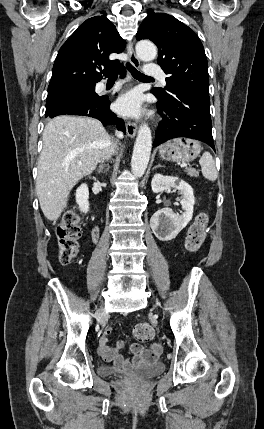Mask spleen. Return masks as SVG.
Returning <instances> with one entry per match:
<instances>
[{"label": "spleen", "mask_w": 264, "mask_h": 429, "mask_svg": "<svg viewBox=\"0 0 264 429\" xmlns=\"http://www.w3.org/2000/svg\"><path fill=\"white\" fill-rule=\"evenodd\" d=\"M199 163L201 165L204 178L210 181H215L218 177V173L212 155L205 151L201 156Z\"/></svg>", "instance_id": "1"}]
</instances>
